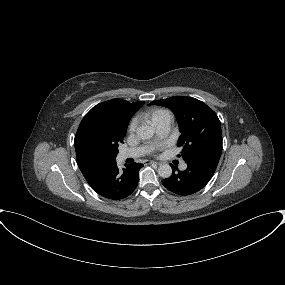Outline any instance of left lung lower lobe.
Listing matches in <instances>:
<instances>
[{"instance_id": "obj_1", "label": "left lung lower lobe", "mask_w": 285, "mask_h": 285, "mask_svg": "<svg viewBox=\"0 0 285 285\" xmlns=\"http://www.w3.org/2000/svg\"><path fill=\"white\" fill-rule=\"evenodd\" d=\"M220 156L202 155L191 158L187 161V169L184 171H176V168L171 165L173 174L164 180L162 183L169 191L187 196L201 190L212 178L218 165Z\"/></svg>"}]
</instances>
